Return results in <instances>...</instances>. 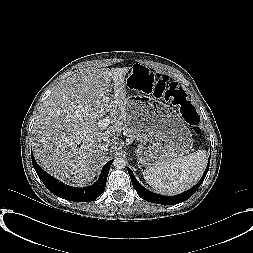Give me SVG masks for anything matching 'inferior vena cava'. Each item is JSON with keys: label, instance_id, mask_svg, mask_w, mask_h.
I'll list each match as a JSON object with an SVG mask.
<instances>
[{"label": "inferior vena cava", "instance_id": "inferior-vena-cava-1", "mask_svg": "<svg viewBox=\"0 0 253 253\" xmlns=\"http://www.w3.org/2000/svg\"><path fill=\"white\" fill-rule=\"evenodd\" d=\"M103 149H104V151H108L109 150V145L107 143L104 144Z\"/></svg>", "mask_w": 253, "mask_h": 253}]
</instances>
